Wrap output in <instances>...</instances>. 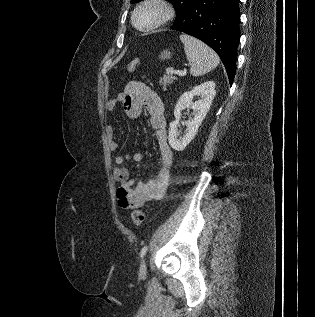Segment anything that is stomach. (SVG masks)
Instances as JSON below:
<instances>
[{"label": "stomach", "instance_id": "obj_1", "mask_svg": "<svg viewBox=\"0 0 315 317\" xmlns=\"http://www.w3.org/2000/svg\"><path fill=\"white\" fill-rule=\"evenodd\" d=\"M170 56H171V53H170L168 50H166V51H163V52L161 53L160 58H161V59H169Z\"/></svg>", "mask_w": 315, "mask_h": 317}]
</instances>
